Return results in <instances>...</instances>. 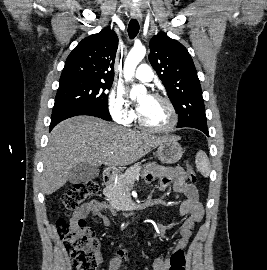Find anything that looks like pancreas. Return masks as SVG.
Masks as SVG:
<instances>
[{
	"label": "pancreas",
	"instance_id": "obj_1",
	"mask_svg": "<svg viewBox=\"0 0 267 270\" xmlns=\"http://www.w3.org/2000/svg\"><path fill=\"white\" fill-rule=\"evenodd\" d=\"M140 169V163L131 166L104 189L103 193L112 205L130 201V191L134 182L139 180Z\"/></svg>",
	"mask_w": 267,
	"mask_h": 270
}]
</instances>
